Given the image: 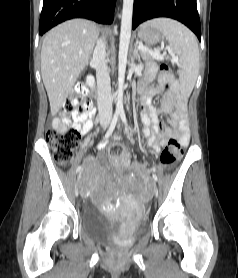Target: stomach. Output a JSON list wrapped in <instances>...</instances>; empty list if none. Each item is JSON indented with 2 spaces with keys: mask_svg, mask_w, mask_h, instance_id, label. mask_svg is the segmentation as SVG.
<instances>
[{
  "mask_svg": "<svg viewBox=\"0 0 238 278\" xmlns=\"http://www.w3.org/2000/svg\"><path fill=\"white\" fill-rule=\"evenodd\" d=\"M163 33L156 27L149 24H143L138 30V37L147 45L158 43L163 38Z\"/></svg>",
  "mask_w": 238,
  "mask_h": 278,
  "instance_id": "obj_1",
  "label": "stomach"
}]
</instances>
